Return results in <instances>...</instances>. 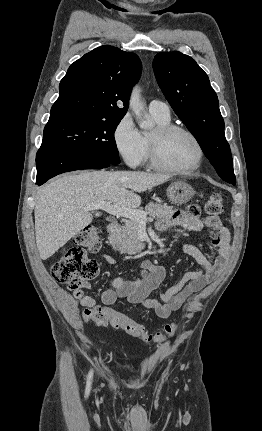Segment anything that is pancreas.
<instances>
[{
  "label": "pancreas",
  "mask_w": 262,
  "mask_h": 431,
  "mask_svg": "<svg viewBox=\"0 0 262 431\" xmlns=\"http://www.w3.org/2000/svg\"><path fill=\"white\" fill-rule=\"evenodd\" d=\"M151 218L163 219L167 218L171 212V206H165L157 203L150 202L144 208ZM140 224L135 220H128L121 227L116 234L111 237L110 243L113 248L119 250L121 253L134 254L144 248V244L138 238Z\"/></svg>",
  "instance_id": "1"
}]
</instances>
